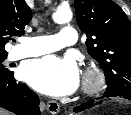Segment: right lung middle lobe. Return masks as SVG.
I'll use <instances>...</instances> for the list:
<instances>
[{"mask_svg":"<svg viewBox=\"0 0 131 115\" xmlns=\"http://www.w3.org/2000/svg\"><path fill=\"white\" fill-rule=\"evenodd\" d=\"M7 55H2L0 56V77L3 76H8L10 74H12L11 71L7 70L4 65L2 64V62L4 61V59H6Z\"/></svg>","mask_w":131,"mask_h":115,"instance_id":"1","label":"right lung middle lobe"}]
</instances>
